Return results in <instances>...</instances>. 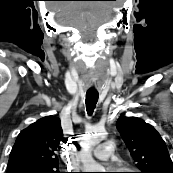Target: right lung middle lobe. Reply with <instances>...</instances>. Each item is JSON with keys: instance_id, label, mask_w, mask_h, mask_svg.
<instances>
[{"instance_id": "dd1d6c3e", "label": "right lung middle lobe", "mask_w": 173, "mask_h": 173, "mask_svg": "<svg viewBox=\"0 0 173 173\" xmlns=\"http://www.w3.org/2000/svg\"><path fill=\"white\" fill-rule=\"evenodd\" d=\"M26 173H59V171L58 169H56V170L27 171Z\"/></svg>"}]
</instances>
